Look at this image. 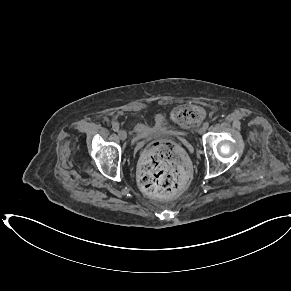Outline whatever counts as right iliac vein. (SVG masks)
I'll return each instance as SVG.
<instances>
[{
	"instance_id": "1",
	"label": "right iliac vein",
	"mask_w": 291,
	"mask_h": 291,
	"mask_svg": "<svg viewBox=\"0 0 291 291\" xmlns=\"http://www.w3.org/2000/svg\"><path fill=\"white\" fill-rule=\"evenodd\" d=\"M118 137L122 140V141H124L126 138H127V133H126V131L125 130H119L118 131Z\"/></svg>"
}]
</instances>
